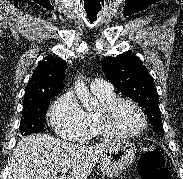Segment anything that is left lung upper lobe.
<instances>
[{
    "label": "left lung upper lobe",
    "instance_id": "1",
    "mask_svg": "<svg viewBox=\"0 0 183 179\" xmlns=\"http://www.w3.org/2000/svg\"><path fill=\"white\" fill-rule=\"evenodd\" d=\"M102 69L107 79L122 93L146 109L154 131L163 134L158 93L153 78L142 61L134 54L123 53L105 57Z\"/></svg>",
    "mask_w": 183,
    "mask_h": 179
}]
</instances>
